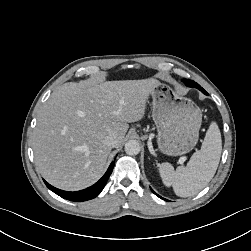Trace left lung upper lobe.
Wrapping results in <instances>:
<instances>
[{
  "label": "left lung upper lobe",
  "mask_w": 251,
  "mask_h": 251,
  "mask_svg": "<svg viewBox=\"0 0 251 251\" xmlns=\"http://www.w3.org/2000/svg\"><path fill=\"white\" fill-rule=\"evenodd\" d=\"M183 83L188 86V87H192V88H197L199 89L200 91H202L204 94L207 95L206 91L199 85L197 84L196 82L192 81V80H189V79H183L182 80Z\"/></svg>",
  "instance_id": "5c2ea615"
}]
</instances>
